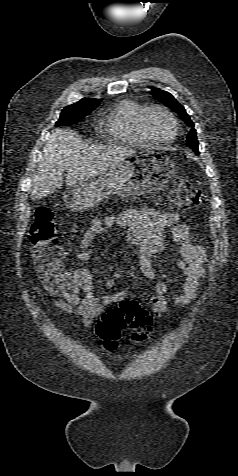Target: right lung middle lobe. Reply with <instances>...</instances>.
<instances>
[{
	"instance_id": "right-lung-middle-lobe-1",
	"label": "right lung middle lobe",
	"mask_w": 238,
	"mask_h": 476,
	"mask_svg": "<svg viewBox=\"0 0 238 476\" xmlns=\"http://www.w3.org/2000/svg\"><path fill=\"white\" fill-rule=\"evenodd\" d=\"M97 105L91 106H78V105H69L66 106L60 115L59 120L56 122V126H66L74 124L85 116L89 115Z\"/></svg>"
}]
</instances>
